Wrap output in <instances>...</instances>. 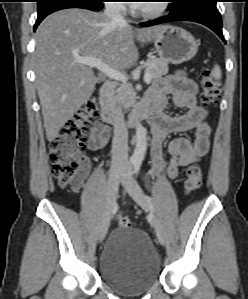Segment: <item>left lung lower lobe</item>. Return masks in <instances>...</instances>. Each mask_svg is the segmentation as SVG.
I'll return each instance as SVG.
<instances>
[{"mask_svg":"<svg viewBox=\"0 0 248 299\" xmlns=\"http://www.w3.org/2000/svg\"><path fill=\"white\" fill-rule=\"evenodd\" d=\"M217 1L173 0V4L169 7V15L145 22L142 26L148 27L176 20L193 21L212 29L226 43L222 34L221 16L216 8Z\"/></svg>","mask_w":248,"mask_h":299,"instance_id":"1","label":"left lung lower lobe"}]
</instances>
